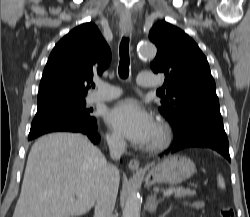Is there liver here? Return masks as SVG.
<instances>
[{"mask_svg": "<svg viewBox=\"0 0 250 217\" xmlns=\"http://www.w3.org/2000/svg\"><path fill=\"white\" fill-rule=\"evenodd\" d=\"M107 160L86 136L53 133L31 147L13 217H73L96 202Z\"/></svg>", "mask_w": 250, "mask_h": 217, "instance_id": "6515ba94", "label": "liver"}]
</instances>
